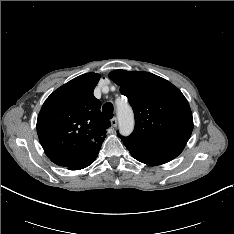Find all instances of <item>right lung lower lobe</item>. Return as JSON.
<instances>
[{
  "label": "right lung lower lobe",
  "instance_id": "obj_1",
  "mask_svg": "<svg viewBox=\"0 0 234 234\" xmlns=\"http://www.w3.org/2000/svg\"><path fill=\"white\" fill-rule=\"evenodd\" d=\"M97 155H98V154H97ZM97 155H95L94 157H92L91 159H89L87 162H85V163H83V164H79V165L73 167V168L70 169V170H79V169H83V168L89 166V165L92 164L93 161L96 159Z\"/></svg>",
  "mask_w": 234,
  "mask_h": 234
}]
</instances>
